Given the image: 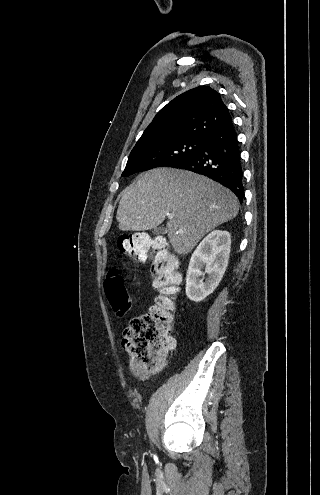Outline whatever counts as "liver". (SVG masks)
Segmentation results:
<instances>
[{
	"mask_svg": "<svg viewBox=\"0 0 320 495\" xmlns=\"http://www.w3.org/2000/svg\"><path fill=\"white\" fill-rule=\"evenodd\" d=\"M238 211L236 196L219 183L188 171L158 168L123 191L116 219L121 231H147L173 214L166 232L174 251L184 255Z\"/></svg>",
	"mask_w": 320,
	"mask_h": 495,
	"instance_id": "1",
	"label": "liver"
}]
</instances>
